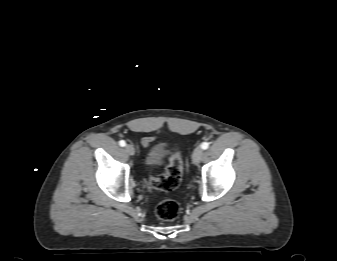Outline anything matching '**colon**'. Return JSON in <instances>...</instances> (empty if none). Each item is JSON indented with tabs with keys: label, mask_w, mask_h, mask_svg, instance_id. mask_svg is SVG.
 Listing matches in <instances>:
<instances>
[{
	"label": "colon",
	"mask_w": 337,
	"mask_h": 261,
	"mask_svg": "<svg viewBox=\"0 0 337 261\" xmlns=\"http://www.w3.org/2000/svg\"><path fill=\"white\" fill-rule=\"evenodd\" d=\"M183 163L179 152H175L169 158L165 172L158 177H151L152 187L162 191H172L178 188L182 178ZM156 216L164 221H171L178 217L180 205L175 200H164L156 207Z\"/></svg>",
	"instance_id": "colon-1"
}]
</instances>
